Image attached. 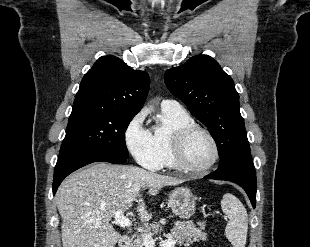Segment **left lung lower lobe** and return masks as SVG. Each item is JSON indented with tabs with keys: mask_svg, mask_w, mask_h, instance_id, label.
<instances>
[{
	"mask_svg": "<svg viewBox=\"0 0 310 247\" xmlns=\"http://www.w3.org/2000/svg\"><path fill=\"white\" fill-rule=\"evenodd\" d=\"M216 180H227L240 185L247 193L253 208L256 205V173L251 156L239 162L219 167L216 171L205 176Z\"/></svg>",
	"mask_w": 310,
	"mask_h": 247,
	"instance_id": "1",
	"label": "left lung lower lobe"
}]
</instances>
